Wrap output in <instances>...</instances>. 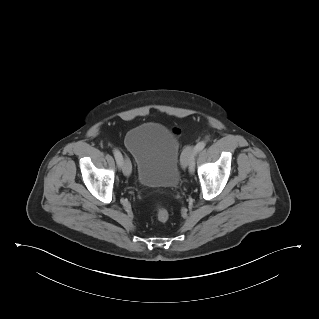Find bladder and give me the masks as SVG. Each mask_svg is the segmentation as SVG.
<instances>
[{"mask_svg":"<svg viewBox=\"0 0 319 319\" xmlns=\"http://www.w3.org/2000/svg\"><path fill=\"white\" fill-rule=\"evenodd\" d=\"M124 143L136 162L137 182L145 187L171 188L180 180V142L160 123L131 128Z\"/></svg>","mask_w":319,"mask_h":319,"instance_id":"1","label":"bladder"}]
</instances>
